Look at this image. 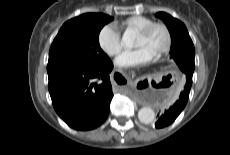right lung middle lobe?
Segmentation results:
<instances>
[{
	"instance_id": "obj_1",
	"label": "right lung middle lobe",
	"mask_w": 230,
	"mask_h": 155,
	"mask_svg": "<svg viewBox=\"0 0 230 155\" xmlns=\"http://www.w3.org/2000/svg\"><path fill=\"white\" fill-rule=\"evenodd\" d=\"M113 18L97 13L85 19L66 22L55 37L47 70L58 67L101 66L110 61L99 45V33Z\"/></svg>"
}]
</instances>
